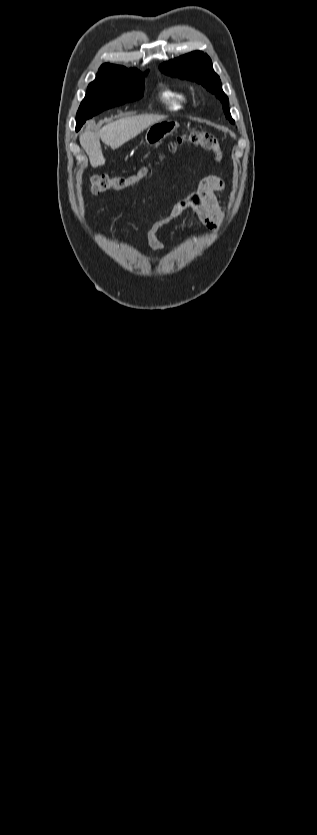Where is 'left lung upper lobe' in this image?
Returning a JSON list of instances; mask_svg holds the SVG:
<instances>
[{
	"mask_svg": "<svg viewBox=\"0 0 317 835\" xmlns=\"http://www.w3.org/2000/svg\"><path fill=\"white\" fill-rule=\"evenodd\" d=\"M160 70L171 76L189 79L202 84L223 103V110L231 123H235L229 111L228 97L222 90L219 76L212 68V62L202 51H193L161 65Z\"/></svg>",
	"mask_w": 317,
	"mask_h": 835,
	"instance_id": "left-lung-upper-lobe-1",
	"label": "left lung upper lobe"
}]
</instances>
